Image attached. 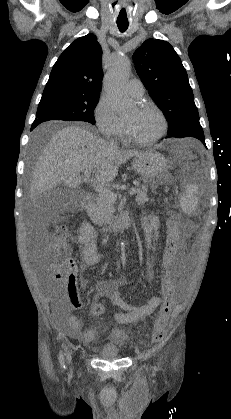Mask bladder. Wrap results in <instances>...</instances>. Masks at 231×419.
I'll use <instances>...</instances> for the list:
<instances>
[{
  "label": "bladder",
  "instance_id": "bladder-1",
  "mask_svg": "<svg viewBox=\"0 0 231 419\" xmlns=\"http://www.w3.org/2000/svg\"><path fill=\"white\" fill-rule=\"evenodd\" d=\"M122 356V349L113 342L105 343L98 351V357L103 360H117Z\"/></svg>",
  "mask_w": 231,
  "mask_h": 419
}]
</instances>
